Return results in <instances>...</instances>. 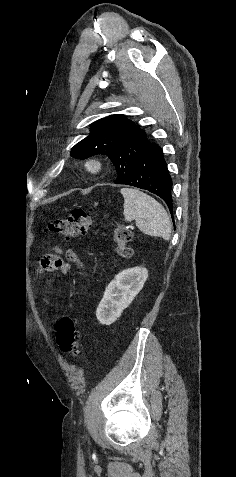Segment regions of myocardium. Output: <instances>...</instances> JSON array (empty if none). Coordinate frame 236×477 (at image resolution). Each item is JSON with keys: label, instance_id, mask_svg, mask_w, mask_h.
<instances>
[{"label": "myocardium", "instance_id": "f54148a6", "mask_svg": "<svg viewBox=\"0 0 236 477\" xmlns=\"http://www.w3.org/2000/svg\"><path fill=\"white\" fill-rule=\"evenodd\" d=\"M84 167L88 173L96 174L102 169V164L96 158H88L84 163Z\"/></svg>", "mask_w": 236, "mask_h": 477}]
</instances>
